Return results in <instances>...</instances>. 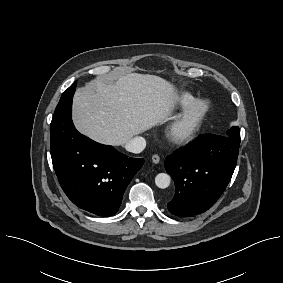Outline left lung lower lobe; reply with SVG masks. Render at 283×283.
<instances>
[{
    "label": "left lung lower lobe",
    "mask_w": 283,
    "mask_h": 283,
    "mask_svg": "<svg viewBox=\"0 0 283 283\" xmlns=\"http://www.w3.org/2000/svg\"><path fill=\"white\" fill-rule=\"evenodd\" d=\"M240 141L206 134L165 160L175 182V196L167 204L177 216L208 210L219 199L234 172Z\"/></svg>",
    "instance_id": "obj_1"
}]
</instances>
